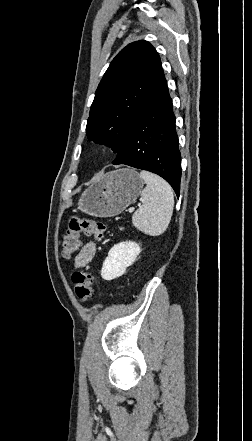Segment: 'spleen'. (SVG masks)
I'll return each mask as SVG.
<instances>
[{"instance_id":"3e777b00","label":"spleen","mask_w":252,"mask_h":441,"mask_svg":"<svg viewBox=\"0 0 252 441\" xmlns=\"http://www.w3.org/2000/svg\"><path fill=\"white\" fill-rule=\"evenodd\" d=\"M140 177L146 187L141 192L142 206L133 214L132 223L149 236H159L166 231L172 217L173 191L164 179L153 173L143 170Z\"/></svg>"}]
</instances>
